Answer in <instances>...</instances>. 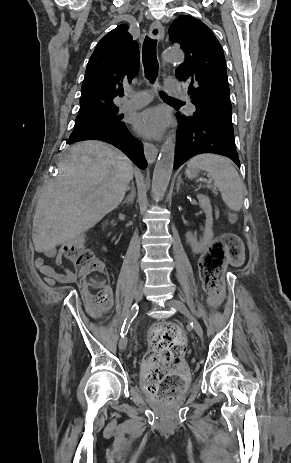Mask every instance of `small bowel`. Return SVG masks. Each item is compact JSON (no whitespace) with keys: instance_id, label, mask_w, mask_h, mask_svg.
Listing matches in <instances>:
<instances>
[{"instance_id":"c3829d8e","label":"small bowel","mask_w":291,"mask_h":463,"mask_svg":"<svg viewBox=\"0 0 291 463\" xmlns=\"http://www.w3.org/2000/svg\"><path fill=\"white\" fill-rule=\"evenodd\" d=\"M44 252L47 256L54 257L56 266L62 270V272H58L51 266L45 265L44 259L42 258L37 259L36 265L39 267V269L43 273L44 280L48 285L53 286L57 282L58 283H71L75 280L74 273L64 266V258H63V254L61 250H58L56 252L52 248H45ZM106 289L110 291L109 287H106Z\"/></svg>"}]
</instances>
